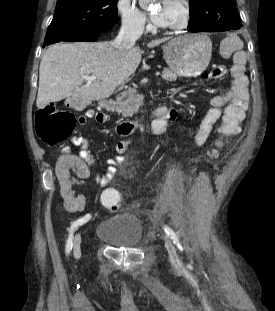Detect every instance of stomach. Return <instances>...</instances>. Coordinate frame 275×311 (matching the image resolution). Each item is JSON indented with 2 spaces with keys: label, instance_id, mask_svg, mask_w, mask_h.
Segmentation results:
<instances>
[{
  "label": "stomach",
  "instance_id": "0dacf381",
  "mask_svg": "<svg viewBox=\"0 0 275 311\" xmlns=\"http://www.w3.org/2000/svg\"><path fill=\"white\" fill-rule=\"evenodd\" d=\"M162 49L169 68L184 77H196L203 73L212 56V42L203 34L174 38Z\"/></svg>",
  "mask_w": 275,
  "mask_h": 311
}]
</instances>
